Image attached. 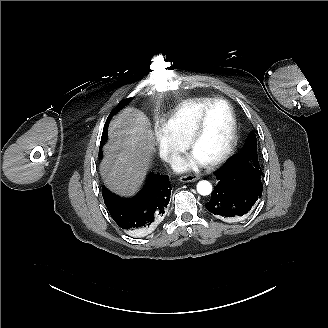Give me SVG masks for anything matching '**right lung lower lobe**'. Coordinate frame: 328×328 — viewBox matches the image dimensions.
<instances>
[{
	"label": "right lung lower lobe",
	"instance_id": "obj_1",
	"mask_svg": "<svg viewBox=\"0 0 328 328\" xmlns=\"http://www.w3.org/2000/svg\"><path fill=\"white\" fill-rule=\"evenodd\" d=\"M171 185L167 175L151 173L143 190L132 199H123L102 187L104 203L116 224L123 230L148 228L164 214L170 201Z\"/></svg>",
	"mask_w": 328,
	"mask_h": 328
}]
</instances>
